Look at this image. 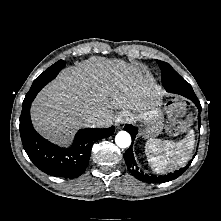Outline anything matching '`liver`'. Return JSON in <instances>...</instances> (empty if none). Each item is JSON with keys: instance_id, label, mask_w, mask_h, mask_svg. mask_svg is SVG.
I'll return each mask as SVG.
<instances>
[{"instance_id": "6515ba94", "label": "liver", "mask_w": 221, "mask_h": 221, "mask_svg": "<svg viewBox=\"0 0 221 221\" xmlns=\"http://www.w3.org/2000/svg\"><path fill=\"white\" fill-rule=\"evenodd\" d=\"M160 88L149 76L121 60L91 58L63 70L37 95L31 108L36 130L65 144L81 127H109L113 110L144 111L155 105ZM96 114L98 120L88 123Z\"/></svg>"}]
</instances>
